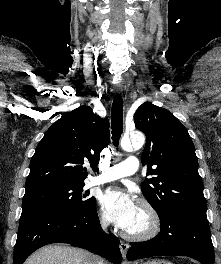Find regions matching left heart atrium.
Wrapping results in <instances>:
<instances>
[{"instance_id":"left-heart-atrium-1","label":"left heart atrium","mask_w":221,"mask_h":264,"mask_svg":"<svg viewBox=\"0 0 221 264\" xmlns=\"http://www.w3.org/2000/svg\"><path fill=\"white\" fill-rule=\"evenodd\" d=\"M101 208L106 218L127 230L133 223L138 206L134 198L121 190H108L100 197Z\"/></svg>"}]
</instances>
